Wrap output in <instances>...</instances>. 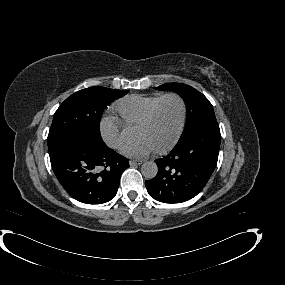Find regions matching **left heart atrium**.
<instances>
[{"label":"left heart atrium","mask_w":285,"mask_h":285,"mask_svg":"<svg viewBox=\"0 0 285 285\" xmlns=\"http://www.w3.org/2000/svg\"><path fill=\"white\" fill-rule=\"evenodd\" d=\"M155 146L145 138H139L123 147V154L135 159L147 157Z\"/></svg>","instance_id":"obj_1"}]
</instances>
